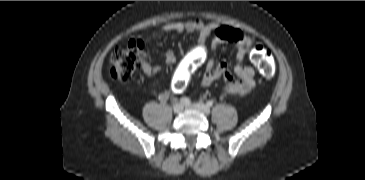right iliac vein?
Returning a JSON list of instances; mask_svg holds the SVG:
<instances>
[{
    "instance_id": "obj_1",
    "label": "right iliac vein",
    "mask_w": 365,
    "mask_h": 180,
    "mask_svg": "<svg viewBox=\"0 0 365 180\" xmlns=\"http://www.w3.org/2000/svg\"><path fill=\"white\" fill-rule=\"evenodd\" d=\"M173 111L175 113H180L183 111V105L180 104V103H176L174 106H173Z\"/></svg>"
}]
</instances>
